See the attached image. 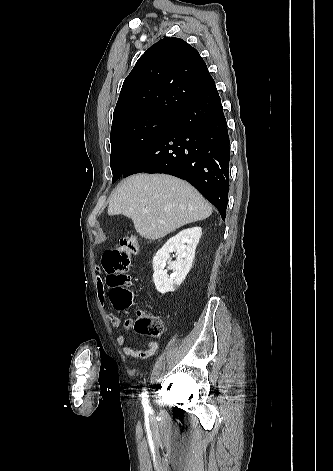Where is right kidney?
<instances>
[{
    "label": "right kidney",
    "mask_w": 333,
    "mask_h": 471,
    "mask_svg": "<svg viewBox=\"0 0 333 471\" xmlns=\"http://www.w3.org/2000/svg\"><path fill=\"white\" fill-rule=\"evenodd\" d=\"M201 234L200 227L185 229L170 238L155 254L153 280L158 292L161 294L173 292L184 281L191 269ZM171 252H176L177 258L174 262L170 259ZM166 264H168V269L173 271L170 277L165 269Z\"/></svg>",
    "instance_id": "1"
}]
</instances>
